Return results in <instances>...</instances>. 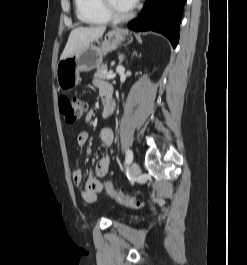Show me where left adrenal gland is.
Instances as JSON below:
<instances>
[{
    "label": "left adrenal gland",
    "mask_w": 247,
    "mask_h": 265,
    "mask_svg": "<svg viewBox=\"0 0 247 265\" xmlns=\"http://www.w3.org/2000/svg\"><path fill=\"white\" fill-rule=\"evenodd\" d=\"M123 60H124V56L123 55H119V61H120V63H122Z\"/></svg>",
    "instance_id": "a2214340"
}]
</instances>
